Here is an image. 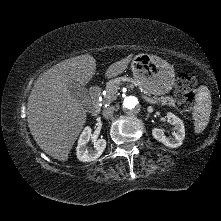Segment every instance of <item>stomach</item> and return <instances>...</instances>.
Masks as SVG:
<instances>
[{
	"label": "stomach",
	"instance_id": "0dacf381",
	"mask_svg": "<svg viewBox=\"0 0 221 221\" xmlns=\"http://www.w3.org/2000/svg\"><path fill=\"white\" fill-rule=\"evenodd\" d=\"M135 81L149 94L160 96L168 93L175 81L174 68L162 58L141 53L131 63Z\"/></svg>",
	"mask_w": 221,
	"mask_h": 221
}]
</instances>
